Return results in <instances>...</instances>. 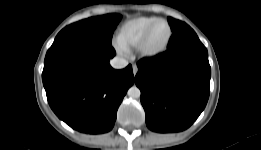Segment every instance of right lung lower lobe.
Returning a JSON list of instances; mask_svg holds the SVG:
<instances>
[{
    "mask_svg": "<svg viewBox=\"0 0 261 150\" xmlns=\"http://www.w3.org/2000/svg\"><path fill=\"white\" fill-rule=\"evenodd\" d=\"M111 44L63 41L47 51L42 73L47 100L55 114L73 129L89 134L110 131L128 88L132 66L115 70Z\"/></svg>",
    "mask_w": 261,
    "mask_h": 150,
    "instance_id": "obj_1",
    "label": "right lung lower lobe"
}]
</instances>
